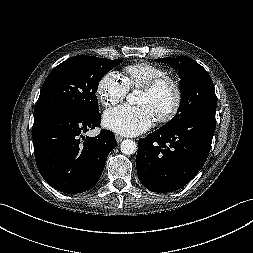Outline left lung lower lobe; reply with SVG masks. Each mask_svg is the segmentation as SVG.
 <instances>
[{"mask_svg":"<svg viewBox=\"0 0 253 253\" xmlns=\"http://www.w3.org/2000/svg\"><path fill=\"white\" fill-rule=\"evenodd\" d=\"M215 125V114L202 112L172 129L160 128L139 139L140 182L153 192H171L189 183L208 157Z\"/></svg>","mask_w":253,"mask_h":253,"instance_id":"left-lung-lower-lobe-1","label":"left lung lower lobe"}]
</instances>
